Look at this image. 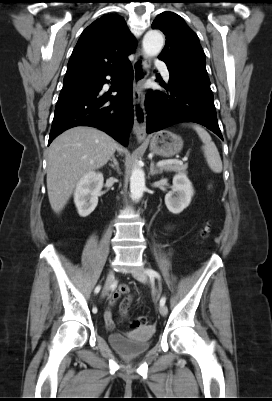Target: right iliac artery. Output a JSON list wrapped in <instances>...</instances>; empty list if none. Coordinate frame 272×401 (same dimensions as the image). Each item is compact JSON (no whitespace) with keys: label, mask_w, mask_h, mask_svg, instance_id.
Returning <instances> with one entry per match:
<instances>
[{"label":"right iliac artery","mask_w":272,"mask_h":401,"mask_svg":"<svg viewBox=\"0 0 272 401\" xmlns=\"http://www.w3.org/2000/svg\"><path fill=\"white\" fill-rule=\"evenodd\" d=\"M100 289H101V287H100V285H98V286L95 288V293H98V292L100 291ZM92 311H93V313H96V312H97V308H96V307H93Z\"/></svg>","instance_id":"obj_1"}]
</instances>
